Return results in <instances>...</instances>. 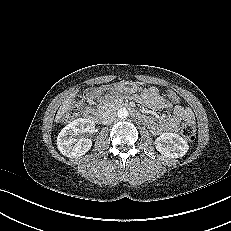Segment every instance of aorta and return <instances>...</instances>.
Here are the masks:
<instances>
[{"label":"aorta","instance_id":"1","mask_svg":"<svg viewBox=\"0 0 231 231\" xmlns=\"http://www.w3.org/2000/svg\"><path fill=\"white\" fill-rule=\"evenodd\" d=\"M118 118L125 119L128 116V111L126 108H120L117 112Z\"/></svg>","mask_w":231,"mask_h":231}]
</instances>
